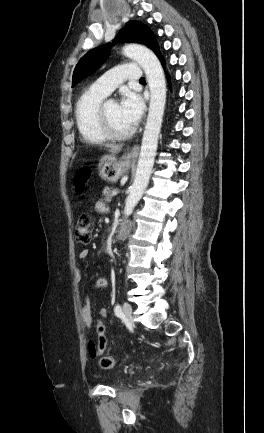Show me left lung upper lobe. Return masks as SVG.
<instances>
[{
  "instance_id": "1",
  "label": "left lung upper lobe",
  "mask_w": 264,
  "mask_h": 433,
  "mask_svg": "<svg viewBox=\"0 0 264 433\" xmlns=\"http://www.w3.org/2000/svg\"><path fill=\"white\" fill-rule=\"evenodd\" d=\"M137 42L146 45L154 51V53L160 57L159 45L156 38L150 28L138 21H129L125 28L122 29L113 42ZM112 46L108 43L102 47L96 48L88 52L76 65L73 78L72 86L74 87L82 78L90 75L97 70L98 67L103 63L104 58L108 55V51Z\"/></svg>"
}]
</instances>
